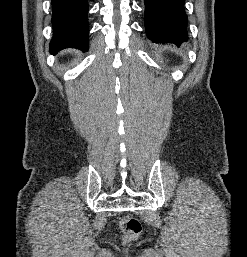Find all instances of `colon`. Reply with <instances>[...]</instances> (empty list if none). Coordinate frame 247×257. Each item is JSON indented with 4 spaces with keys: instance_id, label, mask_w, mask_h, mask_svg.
<instances>
[{
    "instance_id": "1",
    "label": "colon",
    "mask_w": 247,
    "mask_h": 257,
    "mask_svg": "<svg viewBox=\"0 0 247 257\" xmlns=\"http://www.w3.org/2000/svg\"><path fill=\"white\" fill-rule=\"evenodd\" d=\"M120 227L126 242L136 240L142 231V225L140 221L137 218L131 216L123 217L120 222Z\"/></svg>"
}]
</instances>
